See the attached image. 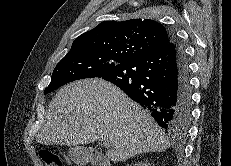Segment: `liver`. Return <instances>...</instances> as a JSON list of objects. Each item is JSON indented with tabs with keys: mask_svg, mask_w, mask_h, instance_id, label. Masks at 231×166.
<instances>
[{
	"mask_svg": "<svg viewBox=\"0 0 231 166\" xmlns=\"http://www.w3.org/2000/svg\"><path fill=\"white\" fill-rule=\"evenodd\" d=\"M98 139L110 141L106 156L114 162L170 145L150 113L112 83L94 78L62 87L48 105L37 142L76 146Z\"/></svg>",
	"mask_w": 231,
	"mask_h": 166,
	"instance_id": "1",
	"label": "liver"
}]
</instances>
